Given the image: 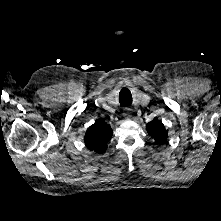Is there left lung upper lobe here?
I'll return each instance as SVG.
<instances>
[{"label":"left lung upper lobe","instance_id":"obj_1","mask_svg":"<svg viewBox=\"0 0 221 221\" xmlns=\"http://www.w3.org/2000/svg\"><path fill=\"white\" fill-rule=\"evenodd\" d=\"M147 131L157 143L164 144L167 141L168 131L165 129L163 123L157 118H154L147 125Z\"/></svg>","mask_w":221,"mask_h":221}]
</instances>
